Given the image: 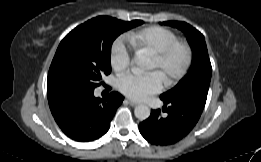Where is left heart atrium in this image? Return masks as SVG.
Wrapping results in <instances>:
<instances>
[{
  "mask_svg": "<svg viewBox=\"0 0 261 162\" xmlns=\"http://www.w3.org/2000/svg\"><path fill=\"white\" fill-rule=\"evenodd\" d=\"M164 81L159 71L146 74L127 73L118 78L117 87L130 99L143 100L149 95L160 92Z\"/></svg>",
  "mask_w": 261,
  "mask_h": 162,
  "instance_id": "39dd6f15",
  "label": "left heart atrium"
}]
</instances>
